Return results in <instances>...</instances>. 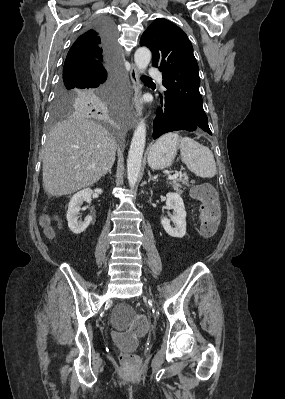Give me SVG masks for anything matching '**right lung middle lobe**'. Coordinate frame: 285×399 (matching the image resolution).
Returning a JSON list of instances; mask_svg holds the SVG:
<instances>
[{
	"instance_id": "right-lung-middle-lobe-1",
	"label": "right lung middle lobe",
	"mask_w": 285,
	"mask_h": 399,
	"mask_svg": "<svg viewBox=\"0 0 285 399\" xmlns=\"http://www.w3.org/2000/svg\"><path fill=\"white\" fill-rule=\"evenodd\" d=\"M91 100H100L103 102L98 111H91L88 102ZM75 111V112H73ZM89 113L108 115L111 112V97L109 88L96 94L93 91L83 89L73 83L60 82L56 88V96L52 110V123L60 118L74 113Z\"/></svg>"
}]
</instances>
